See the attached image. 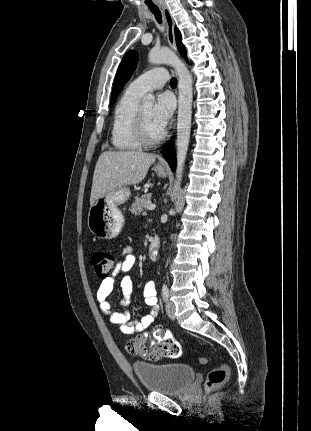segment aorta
<instances>
[{"label": "aorta", "mask_w": 311, "mask_h": 431, "mask_svg": "<svg viewBox=\"0 0 311 431\" xmlns=\"http://www.w3.org/2000/svg\"><path fill=\"white\" fill-rule=\"evenodd\" d=\"M148 62L150 64H169L178 74V88H179V100H178V118H177V140H176V170H175V182L173 186L172 202L179 192L180 184L183 178L184 164L188 152L190 132H191V114H192V78L186 68L185 64L178 60L174 52L171 50H150L148 54ZM155 104L154 94H146L143 98V106L146 108H153ZM173 212V210H170Z\"/></svg>", "instance_id": "aorta-1"}]
</instances>
